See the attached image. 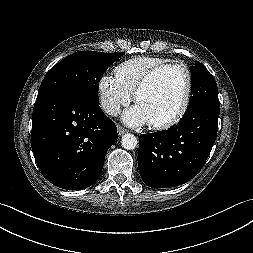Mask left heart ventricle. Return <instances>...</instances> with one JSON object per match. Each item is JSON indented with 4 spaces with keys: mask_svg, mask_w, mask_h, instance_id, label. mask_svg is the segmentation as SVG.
<instances>
[{
    "mask_svg": "<svg viewBox=\"0 0 253 253\" xmlns=\"http://www.w3.org/2000/svg\"><path fill=\"white\" fill-rule=\"evenodd\" d=\"M184 91V73L176 68L168 69L154 78L136 104L145 112L149 122L163 121L179 110Z\"/></svg>",
    "mask_w": 253,
    "mask_h": 253,
    "instance_id": "left-heart-ventricle-1",
    "label": "left heart ventricle"
}]
</instances>
